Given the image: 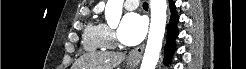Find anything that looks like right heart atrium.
<instances>
[{"label": "right heart atrium", "mask_w": 246, "mask_h": 69, "mask_svg": "<svg viewBox=\"0 0 246 69\" xmlns=\"http://www.w3.org/2000/svg\"><path fill=\"white\" fill-rule=\"evenodd\" d=\"M107 33H108V37H109L110 42H114L115 41V34H114V32L107 27Z\"/></svg>", "instance_id": "right-heart-atrium-1"}]
</instances>
